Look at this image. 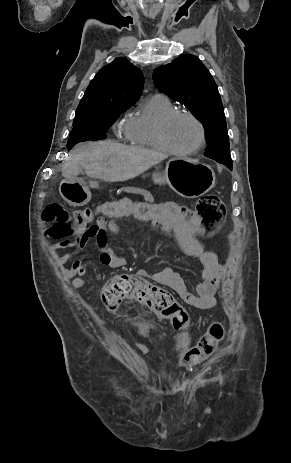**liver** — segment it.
Masks as SVG:
<instances>
[{
  "label": "liver",
  "instance_id": "6515ba94",
  "mask_svg": "<svg viewBox=\"0 0 291 463\" xmlns=\"http://www.w3.org/2000/svg\"><path fill=\"white\" fill-rule=\"evenodd\" d=\"M166 157L154 150L105 140L80 145L67 158L62 174L66 179L74 180L84 169L90 178L121 182L135 178Z\"/></svg>",
  "mask_w": 291,
  "mask_h": 463
}]
</instances>
